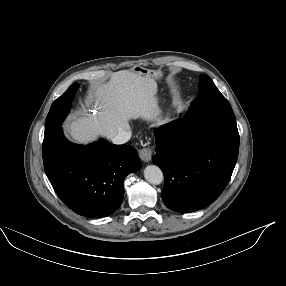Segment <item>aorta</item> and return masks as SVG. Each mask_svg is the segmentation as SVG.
I'll return each instance as SVG.
<instances>
[{"instance_id":"762f6f07","label":"aorta","mask_w":286,"mask_h":286,"mask_svg":"<svg viewBox=\"0 0 286 286\" xmlns=\"http://www.w3.org/2000/svg\"><path fill=\"white\" fill-rule=\"evenodd\" d=\"M144 177L149 183L153 185L161 184L164 179L163 172L156 165H148L144 169Z\"/></svg>"}]
</instances>
